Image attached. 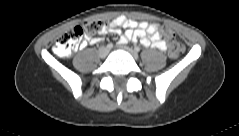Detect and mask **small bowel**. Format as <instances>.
Listing matches in <instances>:
<instances>
[{
    "mask_svg": "<svg viewBox=\"0 0 239 136\" xmlns=\"http://www.w3.org/2000/svg\"><path fill=\"white\" fill-rule=\"evenodd\" d=\"M122 29H125L122 31ZM115 32L120 35L118 44L140 41L145 47L156 48L160 51L167 49V43L163 39L159 27L155 23L137 22L125 16H119L104 25L101 34ZM100 37H89L85 44L95 45L100 42Z\"/></svg>",
    "mask_w": 239,
    "mask_h": 136,
    "instance_id": "c3829d8e",
    "label": "small bowel"
}]
</instances>
